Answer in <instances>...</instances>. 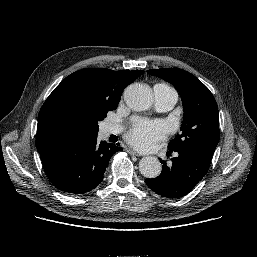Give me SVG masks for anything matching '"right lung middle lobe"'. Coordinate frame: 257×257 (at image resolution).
<instances>
[{
    "label": "right lung middle lobe",
    "mask_w": 257,
    "mask_h": 257,
    "mask_svg": "<svg viewBox=\"0 0 257 257\" xmlns=\"http://www.w3.org/2000/svg\"><path fill=\"white\" fill-rule=\"evenodd\" d=\"M119 102L85 101L80 106V116L87 136L98 133V121L103 120L109 111L115 110Z\"/></svg>",
    "instance_id": "1"
}]
</instances>
